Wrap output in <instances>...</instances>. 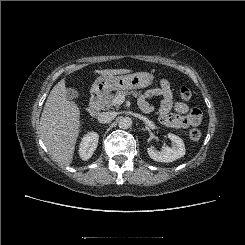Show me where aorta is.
<instances>
[{"label":"aorta","instance_id":"obj_1","mask_svg":"<svg viewBox=\"0 0 245 245\" xmlns=\"http://www.w3.org/2000/svg\"><path fill=\"white\" fill-rule=\"evenodd\" d=\"M118 125L122 129H128L132 125V119L130 117H123L119 120Z\"/></svg>","mask_w":245,"mask_h":245}]
</instances>
